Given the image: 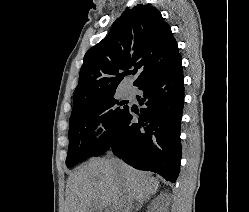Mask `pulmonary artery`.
<instances>
[{"label":"pulmonary artery","instance_id":"1","mask_svg":"<svg viewBox=\"0 0 249 212\" xmlns=\"http://www.w3.org/2000/svg\"><path fill=\"white\" fill-rule=\"evenodd\" d=\"M122 96L124 98H129V99H132L135 97V91L133 89V87L129 84L127 85L124 90H123V93H122Z\"/></svg>","mask_w":249,"mask_h":212}]
</instances>
